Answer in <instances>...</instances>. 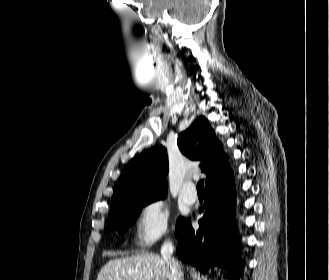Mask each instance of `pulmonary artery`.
Instances as JSON below:
<instances>
[{
    "label": "pulmonary artery",
    "mask_w": 329,
    "mask_h": 280,
    "mask_svg": "<svg viewBox=\"0 0 329 280\" xmlns=\"http://www.w3.org/2000/svg\"><path fill=\"white\" fill-rule=\"evenodd\" d=\"M182 199L188 203V204H193L197 201V192L194 189V184L193 183H187L185 184L181 191H180Z\"/></svg>",
    "instance_id": "e3ab8cb5"
}]
</instances>
